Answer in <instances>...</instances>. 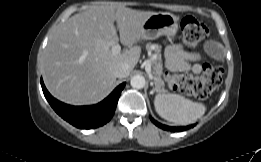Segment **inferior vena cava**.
I'll use <instances>...</instances> for the list:
<instances>
[{
    "mask_svg": "<svg viewBox=\"0 0 261 162\" xmlns=\"http://www.w3.org/2000/svg\"><path fill=\"white\" fill-rule=\"evenodd\" d=\"M130 68L127 64H120L116 66L113 70V74L116 78H125L129 75Z\"/></svg>",
    "mask_w": 261,
    "mask_h": 162,
    "instance_id": "inferior-vena-cava-1",
    "label": "inferior vena cava"
}]
</instances>
